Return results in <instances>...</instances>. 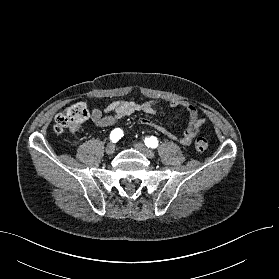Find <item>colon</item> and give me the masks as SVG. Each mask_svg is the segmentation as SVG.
<instances>
[{
  "mask_svg": "<svg viewBox=\"0 0 279 279\" xmlns=\"http://www.w3.org/2000/svg\"><path fill=\"white\" fill-rule=\"evenodd\" d=\"M89 116L88 109L84 103H76L64 111L60 112L54 121V130L56 133L61 134L67 130H77ZM208 147L206 138L200 136L195 141V148L202 152Z\"/></svg>",
  "mask_w": 279,
  "mask_h": 279,
  "instance_id": "5ec220e1",
  "label": "colon"
}]
</instances>
